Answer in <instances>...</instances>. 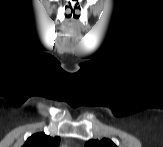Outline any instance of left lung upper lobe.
Segmentation results:
<instances>
[{
    "mask_svg": "<svg viewBox=\"0 0 163 147\" xmlns=\"http://www.w3.org/2000/svg\"><path fill=\"white\" fill-rule=\"evenodd\" d=\"M86 147H116V145L109 139L90 140L86 143Z\"/></svg>",
    "mask_w": 163,
    "mask_h": 147,
    "instance_id": "1",
    "label": "left lung upper lobe"
}]
</instances>
